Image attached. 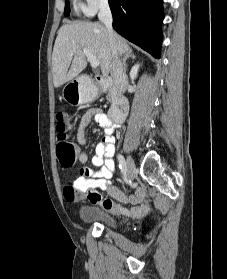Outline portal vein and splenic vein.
<instances>
[{"mask_svg": "<svg viewBox=\"0 0 227 279\" xmlns=\"http://www.w3.org/2000/svg\"><path fill=\"white\" fill-rule=\"evenodd\" d=\"M74 52H76V50L74 49ZM83 53L85 54V56L87 57L88 61L90 62V65L93 68H97L100 65L99 60L86 48H83Z\"/></svg>", "mask_w": 227, "mask_h": 279, "instance_id": "portal-vein-and-splenic-vein-1", "label": "portal vein and splenic vein"}]
</instances>
